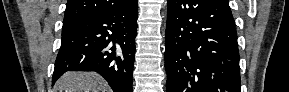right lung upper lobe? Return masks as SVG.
Returning a JSON list of instances; mask_svg holds the SVG:
<instances>
[{"label": "right lung upper lobe", "mask_w": 289, "mask_h": 92, "mask_svg": "<svg viewBox=\"0 0 289 92\" xmlns=\"http://www.w3.org/2000/svg\"><path fill=\"white\" fill-rule=\"evenodd\" d=\"M133 0H68L63 21L67 27L81 19L112 11L128 5Z\"/></svg>", "instance_id": "1"}]
</instances>
